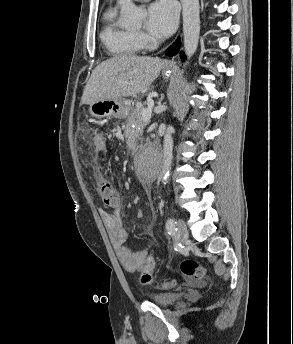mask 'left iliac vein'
Wrapping results in <instances>:
<instances>
[{"instance_id":"obj_1","label":"left iliac vein","mask_w":293,"mask_h":344,"mask_svg":"<svg viewBox=\"0 0 293 344\" xmlns=\"http://www.w3.org/2000/svg\"><path fill=\"white\" fill-rule=\"evenodd\" d=\"M176 235H177L178 240L182 243H184L189 237L187 226L182 219L178 220V229H177Z\"/></svg>"}]
</instances>
